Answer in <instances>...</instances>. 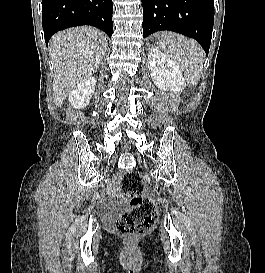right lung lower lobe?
Wrapping results in <instances>:
<instances>
[{
	"mask_svg": "<svg viewBox=\"0 0 265 273\" xmlns=\"http://www.w3.org/2000/svg\"><path fill=\"white\" fill-rule=\"evenodd\" d=\"M112 0H42V26L46 43L60 30L91 25L113 34Z\"/></svg>",
	"mask_w": 265,
	"mask_h": 273,
	"instance_id": "obj_1",
	"label": "right lung lower lobe"
}]
</instances>
